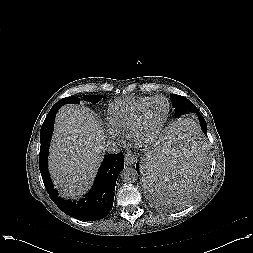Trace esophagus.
Listing matches in <instances>:
<instances>
[{
  "label": "esophagus",
  "instance_id": "obj_1",
  "mask_svg": "<svg viewBox=\"0 0 253 253\" xmlns=\"http://www.w3.org/2000/svg\"><path fill=\"white\" fill-rule=\"evenodd\" d=\"M135 161H136V159L132 154H130V153L125 154V156H124L125 165H127V166L133 165L135 163Z\"/></svg>",
  "mask_w": 253,
  "mask_h": 253
}]
</instances>
